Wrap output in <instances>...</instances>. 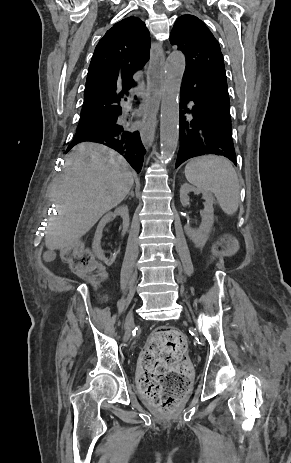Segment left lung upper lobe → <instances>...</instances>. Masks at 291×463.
<instances>
[{"mask_svg": "<svg viewBox=\"0 0 291 463\" xmlns=\"http://www.w3.org/2000/svg\"><path fill=\"white\" fill-rule=\"evenodd\" d=\"M170 42L186 57L181 91L230 118V101L223 55L216 38L206 25L193 15H182L175 22Z\"/></svg>", "mask_w": 291, "mask_h": 463, "instance_id": "left-lung-upper-lobe-1", "label": "left lung upper lobe"}]
</instances>
